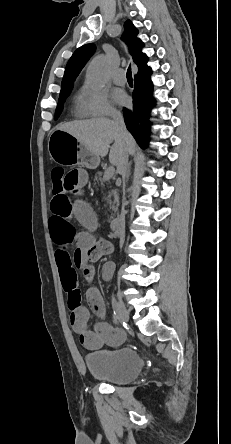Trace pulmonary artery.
<instances>
[{"mask_svg":"<svg viewBox=\"0 0 231 444\" xmlns=\"http://www.w3.org/2000/svg\"><path fill=\"white\" fill-rule=\"evenodd\" d=\"M113 82L116 85H124L126 83V77H125V71L122 69L117 70L114 74H113Z\"/></svg>","mask_w":231,"mask_h":444,"instance_id":"pulmonary-artery-1","label":"pulmonary artery"}]
</instances>
